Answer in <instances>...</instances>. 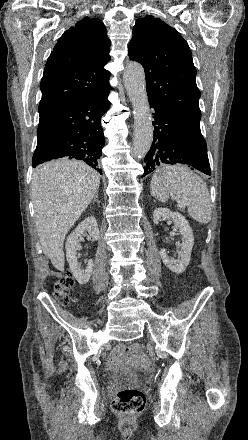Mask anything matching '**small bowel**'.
I'll use <instances>...</instances> for the list:
<instances>
[{
    "mask_svg": "<svg viewBox=\"0 0 248 440\" xmlns=\"http://www.w3.org/2000/svg\"><path fill=\"white\" fill-rule=\"evenodd\" d=\"M125 353V347L124 345L120 344L117 345L110 353L108 358V363L110 366L116 365L120 359L122 358L123 354Z\"/></svg>",
    "mask_w": 248,
    "mask_h": 440,
    "instance_id": "c3829d8e",
    "label": "small bowel"
}]
</instances>
